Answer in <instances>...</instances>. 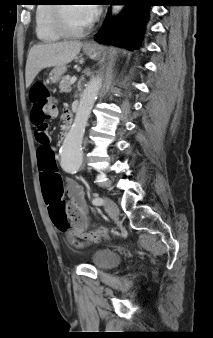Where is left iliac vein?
I'll return each instance as SVG.
<instances>
[{
    "instance_id": "1",
    "label": "left iliac vein",
    "mask_w": 213,
    "mask_h": 338,
    "mask_svg": "<svg viewBox=\"0 0 213 338\" xmlns=\"http://www.w3.org/2000/svg\"><path fill=\"white\" fill-rule=\"evenodd\" d=\"M104 206L106 208V210H108L112 215L118 217L119 216V208L117 206V204L112 201L111 199L109 198H104Z\"/></svg>"
}]
</instances>
